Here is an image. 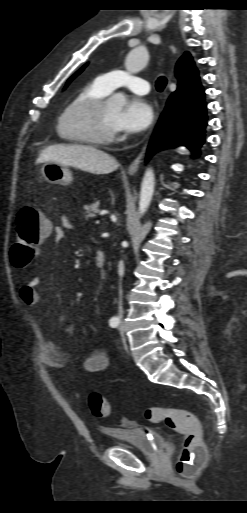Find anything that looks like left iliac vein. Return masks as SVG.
Segmentation results:
<instances>
[{
  "mask_svg": "<svg viewBox=\"0 0 247 513\" xmlns=\"http://www.w3.org/2000/svg\"><path fill=\"white\" fill-rule=\"evenodd\" d=\"M119 330H120V334H121L122 343H123L124 347L127 349V341H126V337H125V330H124V326L122 324L120 325Z\"/></svg>",
  "mask_w": 247,
  "mask_h": 513,
  "instance_id": "obj_1",
  "label": "left iliac vein"
}]
</instances>
